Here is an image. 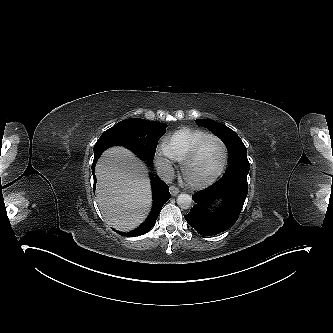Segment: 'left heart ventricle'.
<instances>
[{
	"mask_svg": "<svg viewBox=\"0 0 333 333\" xmlns=\"http://www.w3.org/2000/svg\"><path fill=\"white\" fill-rule=\"evenodd\" d=\"M222 159L221 144L215 139L208 140L203 144L197 156L189 163L188 176L193 180L208 179L219 169Z\"/></svg>",
	"mask_w": 333,
	"mask_h": 333,
	"instance_id": "b2bd125f",
	"label": "left heart ventricle"
}]
</instances>
